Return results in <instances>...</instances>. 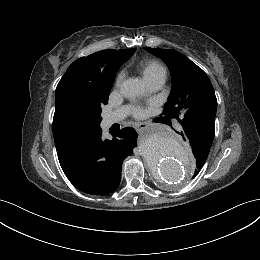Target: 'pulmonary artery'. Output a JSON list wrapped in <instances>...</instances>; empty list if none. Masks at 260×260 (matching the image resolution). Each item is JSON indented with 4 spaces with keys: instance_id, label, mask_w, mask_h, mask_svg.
<instances>
[{
    "instance_id": "1",
    "label": "pulmonary artery",
    "mask_w": 260,
    "mask_h": 260,
    "mask_svg": "<svg viewBox=\"0 0 260 260\" xmlns=\"http://www.w3.org/2000/svg\"><path fill=\"white\" fill-rule=\"evenodd\" d=\"M164 83V77H157L154 79H151L147 82L149 91H155L158 90ZM128 111V108H121L118 109L104 117V123L105 125H112L114 123H117L121 121ZM178 129L181 128L180 125L177 126Z\"/></svg>"
}]
</instances>
